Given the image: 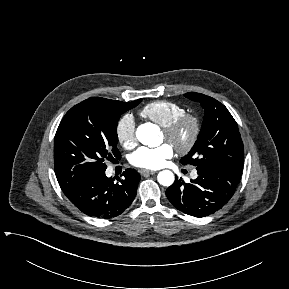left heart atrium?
Segmentation results:
<instances>
[{
	"label": "left heart atrium",
	"instance_id": "39dd6f15",
	"mask_svg": "<svg viewBox=\"0 0 289 289\" xmlns=\"http://www.w3.org/2000/svg\"><path fill=\"white\" fill-rule=\"evenodd\" d=\"M173 154V147L165 143L155 148L140 147L130 155L129 161L138 168L157 169L162 167Z\"/></svg>",
	"mask_w": 289,
	"mask_h": 289
}]
</instances>
